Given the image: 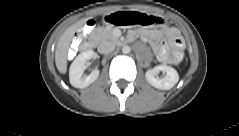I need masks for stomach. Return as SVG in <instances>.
Listing matches in <instances>:
<instances>
[{"mask_svg": "<svg viewBox=\"0 0 239 136\" xmlns=\"http://www.w3.org/2000/svg\"><path fill=\"white\" fill-rule=\"evenodd\" d=\"M105 22L111 25H143L162 27L163 17H154L149 14L135 13L132 11L106 10Z\"/></svg>", "mask_w": 239, "mask_h": 136, "instance_id": "stomach-1", "label": "stomach"}]
</instances>
